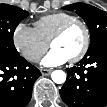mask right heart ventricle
<instances>
[{"label": "right heart ventricle", "mask_w": 107, "mask_h": 107, "mask_svg": "<svg viewBox=\"0 0 107 107\" xmlns=\"http://www.w3.org/2000/svg\"><path fill=\"white\" fill-rule=\"evenodd\" d=\"M76 18L74 15L66 12H57L39 18L34 23V29L39 37L49 43L53 34L67 21Z\"/></svg>", "instance_id": "1"}]
</instances>
